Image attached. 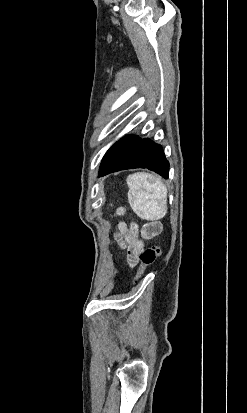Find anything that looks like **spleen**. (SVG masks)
Returning a JSON list of instances; mask_svg holds the SVG:
<instances>
[{
	"label": "spleen",
	"mask_w": 247,
	"mask_h": 413,
	"mask_svg": "<svg viewBox=\"0 0 247 413\" xmlns=\"http://www.w3.org/2000/svg\"><path fill=\"white\" fill-rule=\"evenodd\" d=\"M126 182L129 186L128 202L139 217L146 215L149 221L165 217L167 186L163 184L160 176H152L148 172H134L128 174Z\"/></svg>",
	"instance_id": "obj_1"
}]
</instances>
